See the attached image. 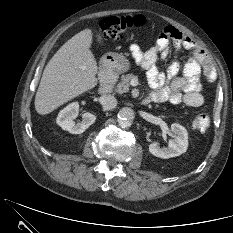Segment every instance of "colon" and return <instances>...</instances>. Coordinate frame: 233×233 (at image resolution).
Segmentation results:
<instances>
[{
  "label": "colon",
  "mask_w": 233,
  "mask_h": 233,
  "mask_svg": "<svg viewBox=\"0 0 233 233\" xmlns=\"http://www.w3.org/2000/svg\"><path fill=\"white\" fill-rule=\"evenodd\" d=\"M145 24V18L136 16H110L98 22L101 33L107 37H117L128 30L139 28ZM193 128L203 133L210 126V117L207 113L198 114L193 120Z\"/></svg>",
  "instance_id": "colon-1"
}]
</instances>
